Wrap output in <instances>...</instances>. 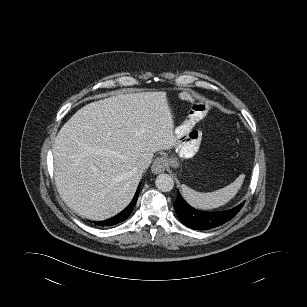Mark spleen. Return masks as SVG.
Masks as SVG:
<instances>
[{"mask_svg":"<svg viewBox=\"0 0 307 307\" xmlns=\"http://www.w3.org/2000/svg\"><path fill=\"white\" fill-rule=\"evenodd\" d=\"M244 175L241 174L233 183L219 190L200 193L187 186H182V195L184 199L194 208L213 209L220 207L231 200L240 189Z\"/></svg>","mask_w":307,"mask_h":307,"instance_id":"obj_1","label":"spleen"}]
</instances>
